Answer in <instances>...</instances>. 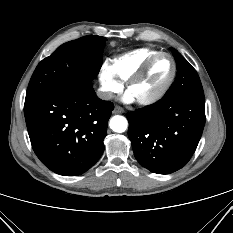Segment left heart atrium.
Returning <instances> with one entry per match:
<instances>
[{
  "label": "left heart atrium",
  "mask_w": 233,
  "mask_h": 233,
  "mask_svg": "<svg viewBox=\"0 0 233 233\" xmlns=\"http://www.w3.org/2000/svg\"><path fill=\"white\" fill-rule=\"evenodd\" d=\"M135 100L136 99L129 91H127L123 96V101L126 103H131V102H134Z\"/></svg>",
  "instance_id": "obj_1"
}]
</instances>
